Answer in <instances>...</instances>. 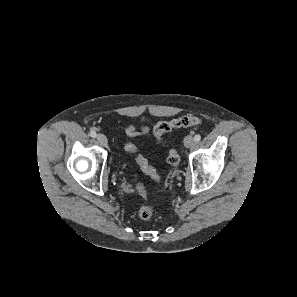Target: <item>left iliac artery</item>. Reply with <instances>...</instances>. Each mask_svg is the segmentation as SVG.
Listing matches in <instances>:
<instances>
[{"label": "left iliac artery", "mask_w": 297, "mask_h": 297, "mask_svg": "<svg viewBox=\"0 0 297 297\" xmlns=\"http://www.w3.org/2000/svg\"><path fill=\"white\" fill-rule=\"evenodd\" d=\"M200 139H201V136H200L199 134H196V135L194 136V140H195L196 142H199Z\"/></svg>", "instance_id": "left-iliac-artery-1"}]
</instances>
